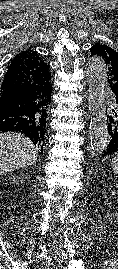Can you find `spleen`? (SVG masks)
<instances>
[{
    "label": "spleen",
    "instance_id": "spleen-1",
    "mask_svg": "<svg viewBox=\"0 0 118 269\" xmlns=\"http://www.w3.org/2000/svg\"><path fill=\"white\" fill-rule=\"evenodd\" d=\"M111 165L114 173L118 175V154L114 156Z\"/></svg>",
    "mask_w": 118,
    "mask_h": 269
}]
</instances>
